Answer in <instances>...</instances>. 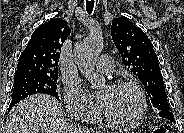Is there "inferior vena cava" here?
I'll use <instances>...</instances> for the list:
<instances>
[{"label":"inferior vena cava","mask_w":184,"mask_h":133,"mask_svg":"<svg viewBox=\"0 0 184 133\" xmlns=\"http://www.w3.org/2000/svg\"><path fill=\"white\" fill-rule=\"evenodd\" d=\"M80 131H82V132H86V130L85 129H81V128H78Z\"/></svg>","instance_id":"inferior-vena-cava-1"}]
</instances>
